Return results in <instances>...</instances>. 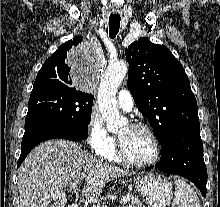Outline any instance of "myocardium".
<instances>
[{
  "mask_svg": "<svg viewBox=\"0 0 220 207\" xmlns=\"http://www.w3.org/2000/svg\"><path fill=\"white\" fill-rule=\"evenodd\" d=\"M129 126L133 129L143 130L150 136L154 144V155L149 161H146V162L134 161L127 156L121 140L118 137H116L115 149H116V154L118 158L123 163L129 166L138 167V168H145V167L154 165L158 161L160 157V153H161V146H160V142H159L157 135L148 125L143 124V123H131Z\"/></svg>",
  "mask_w": 220,
  "mask_h": 207,
  "instance_id": "1",
  "label": "myocardium"
}]
</instances>
